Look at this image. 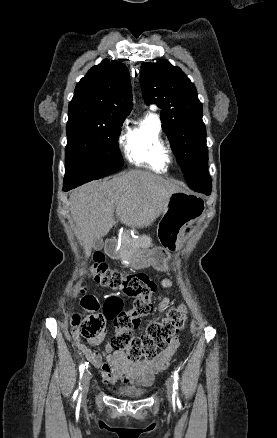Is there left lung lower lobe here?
<instances>
[{
    "instance_id": "obj_1",
    "label": "left lung lower lobe",
    "mask_w": 277,
    "mask_h": 438,
    "mask_svg": "<svg viewBox=\"0 0 277 438\" xmlns=\"http://www.w3.org/2000/svg\"><path fill=\"white\" fill-rule=\"evenodd\" d=\"M203 194H205V195H210V194H206V193H203Z\"/></svg>"
}]
</instances>
